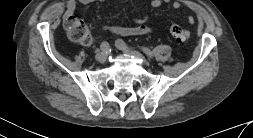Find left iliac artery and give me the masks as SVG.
Here are the masks:
<instances>
[{"label":"left iliac artery","mask_w":253,"mask_h":138,"mask_svg":"<svg viewBox=\"0 0 253 138\" xmlns=\"http://www.w3.org/2000/svg\"><path fill=\"white\" fill-rule=\"evenodd\" d=\"M116 45L119 49H129L130 47L122 40V39H118L116 41ZM148 57L153 58V53L150 49L146 48V47H141L140 48Z\"/></svg>","instance_id":"obj_1"}]
</instances>
